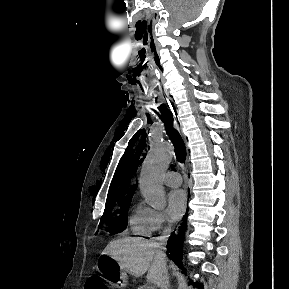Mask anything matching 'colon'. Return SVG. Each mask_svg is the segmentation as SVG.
Returning <instances> with one entry per match:
<instances>
[{
  "mask_svg": "<svg viewBox=\"0 0 289 289\" xmlns=\"http://www.w3.org/2000/svg\"><path fill=\"white\" fill-rule=\"evenodd\" d=\"M109 286L101 277H91L86 283L85 289H108Z\"/></svg>",
  "mask_w": 289,
  "mask_h": 289,
  "instance_id": "1",
  "label": "colon"
}]
</instances>
